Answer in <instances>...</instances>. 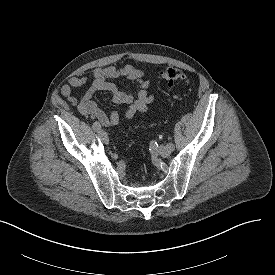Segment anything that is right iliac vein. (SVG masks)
<instances>
[{
    "mask_svg": "<svg viewBox=\"0 0 275 275\" xmlns=\"http://www.w3.org/2000/svg\"><path fill=\"white\" fill-rule=\"evenodd\" d=\"M98 136L102 140L103 143H105V144L109 143V138H108V135L105 131L99 130L98 131Z\"/></svg>",
    "mask_w": 275,
    "mask_h": 275,
    "instance_id": "right-iliac-vein-1",
    "label": "right iliac vein"
}]
</instances>
